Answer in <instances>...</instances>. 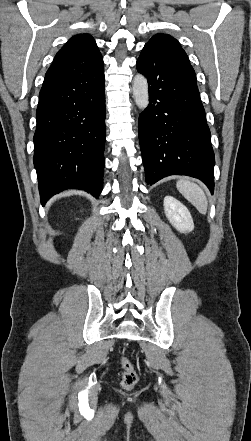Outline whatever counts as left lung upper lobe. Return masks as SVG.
Listing matches in <instances>:
<instances>
[{
  "label": "left lung upper lobe",
  "instance_id": "obj_1",
  "mask_svg": "<svg viewBox=\"0 0 251 441\" xmlns=\"http://www.w3.org/2000/svg\"><path fill=\"white\" fill-rule=\"evenodd\" d=\"M144 47L152 48L158 51L170 52L188 59V56L182 49L180 43L175 38L167 34L154 35Z\"/></svg>",
  "mask_w": 251,
  "mask_h": 441
}]
</instances>
